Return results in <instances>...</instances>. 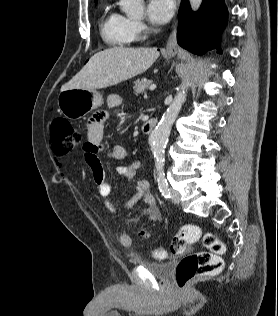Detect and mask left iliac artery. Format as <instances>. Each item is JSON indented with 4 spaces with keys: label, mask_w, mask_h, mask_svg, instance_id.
I'll use <instances>...</instances> for the list:
<instances>
[{
    "label": "left iliac artery",
    "mask_w": 278,
    "mask_h": 316,
    "mask_svg": "<svg viewBox=\"0 0 278 316\" xmlns=\"http://www.w3.org/2000/svg\"><path fill=\"white\" fill-rule=\"evenodd\" d=\"M158 187L162 196L166 199L170 198V191L168 188L167 179L165 178V173L162 168H158V177H157Z\"/></svg>",
    "instance_id": "44dca946"
}]
</instances>
